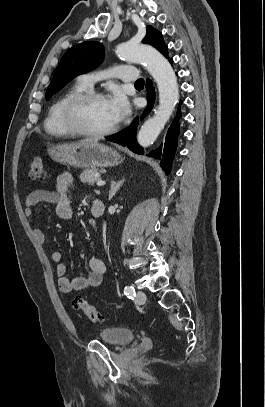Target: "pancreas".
I'll list each match as a JSON object with an SVG mask.
<instances>
[{
    "instance_id": "cf45deb5",
    "label": "pancreas",
    "mask_w": 265,
    "mask_h": 407,
    "mask_svg": "<svg viewBox=\"0 0 265 407\" xmlns=\"http://www.w3.org/2000/svg\"><path fill=\"white\" fill-rule=\"evenodd\" d=\"M98 173L99 169L97 168L86 169L80 174V180L82 183L93 185L95 182L100 180Z\"/></svg>"
}]
</instances>
